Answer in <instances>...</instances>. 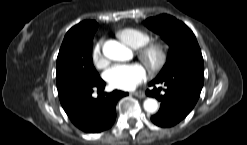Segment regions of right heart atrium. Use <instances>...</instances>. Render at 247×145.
Instances as JSON below:
<instances>
[{"instance_id":"obj_1","label":"right heart atrium","mask_w":247,"mask_h":145,"mask_svg":"<svg viewBox=\"0 0 247 145\" xmlns=\"http://www.w3.org/2000/svg\"><path fill=\"white\" fill-rule=\"evenodd\" d=\"M91 60L93 64L99 69L105 68L107 66L108 59L103 54L102 41H98L93 46L92 51H91Z\"/></svg>"}]
</instances>
